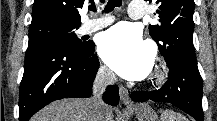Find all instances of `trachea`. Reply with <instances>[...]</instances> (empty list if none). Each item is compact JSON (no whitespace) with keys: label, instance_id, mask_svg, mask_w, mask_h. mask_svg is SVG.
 I'll return each instance as SVG.
<instances>
[{"label":"trachea","instance_id":"trachea-1","mask_svg":"<svg viewBox=\"0 0 217 121\" xmlns=\"http://www.w3.org/2000/svg\"><path fill=\"white\" fill-rule=\"evenodd\" d=\"M121 5H122V0H109L104 9V12L109 13L113 11L115 7H121ZM89 9L91 11H96L95 5H92Z\"/></svg>","mask_w":217,"mask_h":121}]
</instances>
